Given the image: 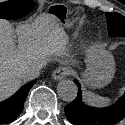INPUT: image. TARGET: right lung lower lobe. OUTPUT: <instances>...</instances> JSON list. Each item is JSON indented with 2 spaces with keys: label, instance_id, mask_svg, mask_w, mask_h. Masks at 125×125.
Listing matches in <instances>:
<instances>
[{
  "label": "right lung lower lobe",
  "instance_id": "1",
  "mask_svg": "<svg viewBox=\"0 0 125 125\" xmlns=\"http://www.w3.org/2000/svg\"><path fill=\"white\" fill-rule=\"evenodd\" d=\"M35 82L33 80L25 84L9 99L0 102V124L11 123L18 117L23 110L27 93Z\"/></svg>",
  "mask_w": 125,
  "mask_h": 125
}]
</instances>
